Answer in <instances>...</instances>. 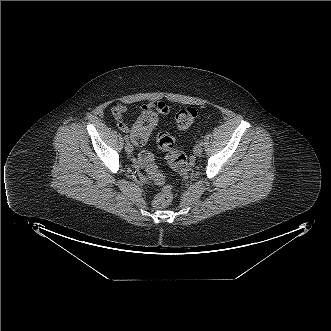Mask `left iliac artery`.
Here are the masks:
<instances>
[{
    "mask_svg": "<svg viewBox=\"0 0 331 331\" xmlns=\"http://www.w3.org/2000/svg\"><path fill=\"white\" fill-rule=\"evenodd\" d=\"M199 144L203 146V144H204V143H203V141H202V140H200V141H199Z\"/></svg>",
    "mask_w": 331,
    "mask_h": 331,
    "instance_id": "1",
    "label": "left iliac artery"
}]
</instances>
